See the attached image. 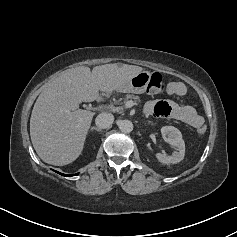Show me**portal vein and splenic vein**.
<instances>
[{"label": "portal vein and splenic vein", "instance_id": "18ae733b", "mask_svg": "<svg viewBox=\"0 0 237 237\" xmlns=\"http://www.w3.org/2000/svg\"><path fill=\"white\" fill-rule=\"evenodd\" d=\"M134 106V102L132 101V100H130V101H127L126 103H125V107L126 108H131V107H133ZM123 109V106H118V107H112L111 108V110L113 111V112H118V111H120V110H122Z\"/></svg>", "mask_w": 237, "mask_h": 237}]
</instances>
